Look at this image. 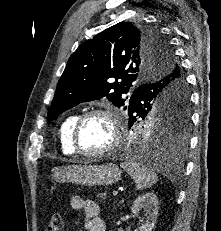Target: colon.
<instances>
[{
    "label": "colon",
    "mask_w": 221,
    "mask_h": 231,
    "mask_svg": "<svg viewBox=\"0 0 221 231\" xmlns=\"http://www.w3.org/2000/svg\"><path fill=\"white\" fill-rule=\"evenodd\" d=\"M63 228V218L59 213L53 214L47 224V231H61Z\"/></svg>",
    "instance_id": "1"
}]
</instances>
